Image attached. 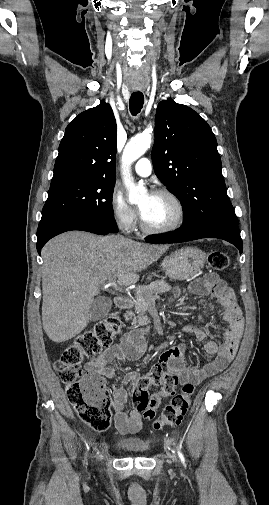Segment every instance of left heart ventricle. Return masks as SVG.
Returning <instances> with one entry per match:
<instances>
[{
    "label": "left heart ventricle",
    "instance_id": "1",
    "mask_svg": "<svg viewBox=\"0 0 269 505\" xmlns=\"http://www.w3.org/2000/svg\"><path fill=\"white\" fill-rule=\"evenodd\" d=\"M142 215L145 221L151 226H165L173 223L178 215V210L174 202L168 197L148 195L142 197L139 202Z\"/></svg>",
    "mask_w": 269,
    "mask_h": 505
}]
</instances>
